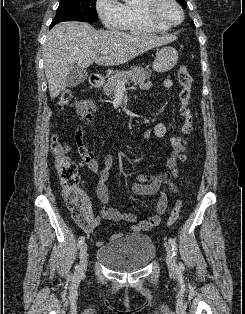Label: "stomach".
Here are the masks:
<instances>
[{
  "label": "stomach",
  "instance_id": "stomach-1",
  "mask_svg": "<svg viewBox=\"0 0 245 314\" xmlns=\"http://www.w3.org/2000/svg\"><path fill=\"white\" fill-rule=\"evenodd\" d=\"M178 61V52L173 47H163L159 50L153 62L152 68L157 73L170 71Z\"/></svg>",
  "mask_w": 245,
  "mask_h": 314
}]
</instances>
